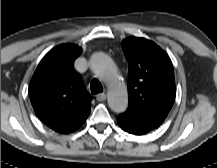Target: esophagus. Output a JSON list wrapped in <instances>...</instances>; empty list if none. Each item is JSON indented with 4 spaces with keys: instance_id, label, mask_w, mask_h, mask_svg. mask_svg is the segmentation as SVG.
Listing matches in <instances>:
<instances>
[{
    "instance_id": "34e87169",
    "label": "esophagus",
    "mask_w": 217,
    "mask_h": 168,
    "mask_svg": "<svg viewBox=\"0 0 217 168\" xmlns=\"http://www.w3.org/2000/svg\"><path fill=\"white\" fill-rule=\"evenodd\" d=\"M96 100L99 102L105 101L106 100V94L105 93H99L96 95Z\"/></svg>"
}]
</instances>
